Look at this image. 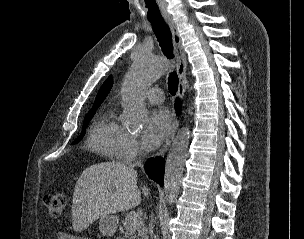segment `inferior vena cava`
I'll use <instances>...</instances> for the list:
<instances>
[{
  "label": "inferior vena cava",
  "mask_w": 304,
  "mask_h": 239,
  "mask_svg": "<svg viewBox=\"0 0 304 239\" xmlns=\"http://www.w3.org/2000/svg\"><path fill=\"white\" fill-rule=\"evenodd\" d=\"M136 164H137V165H141V162H137Z\"/></svg>",
  "instance_id": "obj_1"
}]
</instances>
